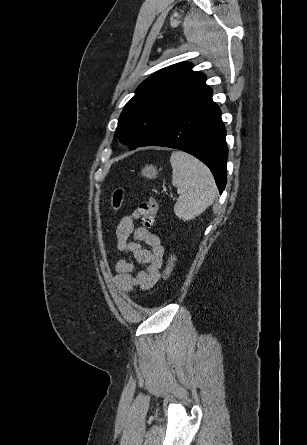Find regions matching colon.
Here are the masks:
<instances>
[{
    "mask_svg": "<svg viewBox=\"0 0 307 445\" xmlns=\"http://www.w3.org/2000/svg\"><path fill=\"white\" fill-rule=\"evenodd\" d=\"M125 192L123 189H116L112 194L111 199V210L113 212H117L124 200ZM139 209L142 213V217L140 219L143 227H152L154 225L155 214L158 210V201L153 196L149 197L147 203H143L139 205ZM176 262V256L174 253H170L167 258L166 266L163 271V279L166 281L170 278Z\"/></svg>",
    "mask_w": 307,
    "mask_h": 445,
    "instance_id": "obj_1",
    "label": "colon"
}]
</instances>
